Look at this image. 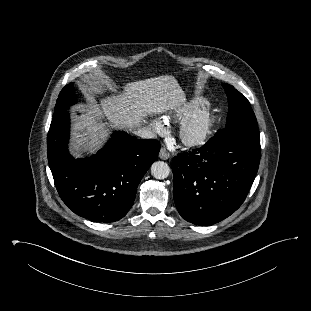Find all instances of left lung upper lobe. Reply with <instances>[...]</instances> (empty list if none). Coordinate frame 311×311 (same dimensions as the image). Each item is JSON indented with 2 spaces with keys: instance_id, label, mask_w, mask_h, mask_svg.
I'll use <instances>...</instances> for the list:
<instances>
[{
  "instance_id": "obj_1",
  "label": "left lung upper lobe",
  "mask_w": 311,
  "mask_h": 311,
  "mask_svg": "<svg viewBox=\"0 0 311 311\" xmlns=\"http://www.w3.org/2000/svg\"><path fill=\"white\" fill-rule=\"evenodd\" d=\"M222 86L229 101V112L226 127L219 129L215 136L231 130H246L258 133L257 120L247 98L231 85L223 83Z\"/></svg>"
}]
</instances>
